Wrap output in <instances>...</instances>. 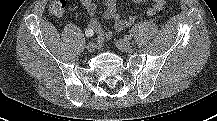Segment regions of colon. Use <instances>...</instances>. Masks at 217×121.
Instances as JSON below:
<instances>
[{
	"label": "colon",
	"mask_w": 217,
	"mask_h": 121,
	"mask_svg": "<svg viewBox=\"0 0 217 121\" xmlns=\"http://www.w3.org/2000/svg\"><path fill=\"white\" fill-rule=\"evenodd\" d=\"M67 0H53L49 5L50 13L55 17H60L66 8Z\"/></svg>",
	"instance_id": "colon-1"
}]
</instances>
